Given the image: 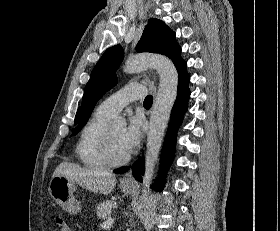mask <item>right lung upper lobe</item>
<instances>
[{"mask_svg":"<svg viewBox=\"0 0 280 231\" xmlns=\"http://www.w3.org/2000/svg\"><path fill=\"white\" fill-rule=\"evenodd\" d=\"M78 118H79V109H78V112H77V114H76L75 123H77Z\"/></svg>","mask_w":280,"mask_h":231,"instance_id":"right-lung-upper-lobe-1","label":"right lung upper lobe"}]
</instances>
